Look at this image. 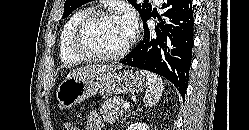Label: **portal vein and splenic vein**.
I'll return each mask as SVG.
<instances>
[{
    "label": "portal vein and splenic vein",
    "mask_w": 249,
    "mask_h": 130,
    "mask_svg": "<svg viewBox=\"0 0 249 130\" xmlns=\"http://www.w3.org/2000/svg\"><path fill=\"white\" fill-rule=\"evenodd\" d=\"M129 107H130L129 103H123L122 104V108L125 109V110H127Z\"/></svg>",
    "instance_id": "1"
}]
</instances>
